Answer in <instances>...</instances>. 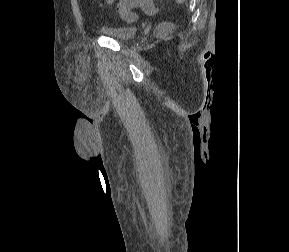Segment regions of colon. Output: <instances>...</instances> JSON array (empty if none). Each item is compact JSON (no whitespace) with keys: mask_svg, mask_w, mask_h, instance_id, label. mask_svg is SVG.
<instances>
[{"mask_svg":"<svg viewBox=\"0 0 289 252\" xmlns=\"http://www.w3.org/2000/svg\"><path fill=\"white\" fill-rule=\"evenodd\" d=\"M136 7L141 8L148 14H152L156 11V6L153 0H120L117 4V11L123 18L133 20L134 13L132 10ZM171 29L170 24L161 23L156 27L155 33L158 37H165L171 32Z\"/></svg>","mask_w":289,"mask_h":252,"instance_id":"1","label":"colon"}]
</instances>
